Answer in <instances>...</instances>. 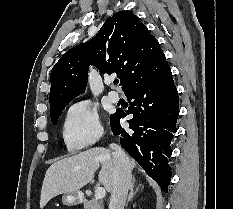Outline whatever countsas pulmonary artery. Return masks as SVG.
I'll use <instances>...</instances> for the list:
<instances>
[{"instance_id": "obj_1", "label": "pulmonary artery", "mask_w": 233, "mask_h": 209, "mask_svg": "<svg viewBox=\"0 0 233 209\" xmlns=\"http://www.w3.org/2000/svg\"><path fill=\"white\" fill-rule=\"evenodd\" d=\"M108 98H109L112 102L116 103V102L119 101L120 95H119V93L116 92V91H110V92L108 93Z\"/></svg>"}]
</instances>
